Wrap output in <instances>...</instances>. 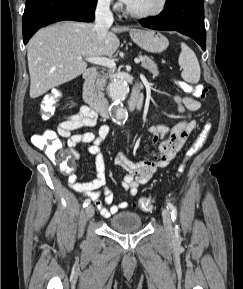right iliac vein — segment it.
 I'll return each mask as SVG.
<instances>
[{
    "label": "right iliac vein",
    "instance_id": "1",
    "mask_svg": "<svg viewBox=\"0 0 243 289\" xmlns=\"http://www.w3.org/2000/svg\"><path fill=\"white\" fill-rule=\"evenodd\" d=\"M94 215V207L92 205H89L87 208H86V216L87 218H92Z\"/></svg>",
    "mask_w": 243,
    "mask_h": 289
}]
</instances>
